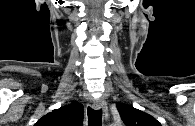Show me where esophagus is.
I'll return each mask as SVG.
<instances>
[{
  "instance_id": "1",
  "label": "esophagus",
  "mask_w": 195,
  "mask_h": 126,
  "mask_svg": "<svg viewBox=\"0 0 195 126\" xmlns=\"http://www.w3.org/2000/svg\"><path fill=\"white\" fill-rule=\"evenodd\" d=\"M92 107L95 109V110H102L103 111V116L104 118L107 120L108 117H109V114H108V110H107V107L105 105V103L101 100H94L93 103H92Z\"/></svg>"
}]
</instances>
